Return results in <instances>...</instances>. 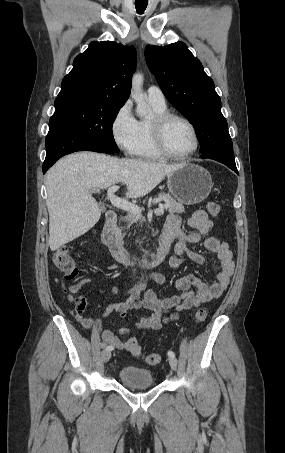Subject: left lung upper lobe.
<instances>
[{
    "instance_id": "left-lung-upper-lobe-1",
    "label": "left lung upper lobe",
    "mask_w": 285,
    "mask_h": 453,
    "mask_svg": "<svg viewBox=\"0 0 285 453\" xmlns=\"http://www.w3.org/2000/svg\"><path fill=\"white\" fill-rule=\"evenodd\" d=\"M145 58L168 101L194 126L201 154L213 150L233 153L214 82L186 44L148 45Z\"/></svg>"
}]
</instances>
